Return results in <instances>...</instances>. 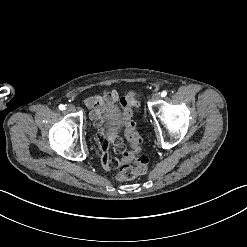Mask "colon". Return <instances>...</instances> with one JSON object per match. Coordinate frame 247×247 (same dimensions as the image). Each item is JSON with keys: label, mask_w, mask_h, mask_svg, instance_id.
Returning <instances> with one entry per match:
<instances>
[{"label": "colon", "mask_w": 247, "mask_h": 247, "mask_svg": "<svg viewBox=\"0 0 247 247\" xmlns=\"http://www.w3.org/2000/svg\"><path fill=\"white\" fill-rule=\"evenodd\" d=\"M136 99L134 93H128L120 98V104L123 108V121H124V134L129 143L131 152H124L122 156L123 164H132V169L128 173L116 171L113 173L112 178L114 181L119 182L123 179H134L143 175L148 167V157L142 155L137 156L136 152L140 151L141 138L134 127L132 121L133 103ZM134 158V160H133Z\"/></svg>", "instance_id": "5ec220e1"}]
</instances>
